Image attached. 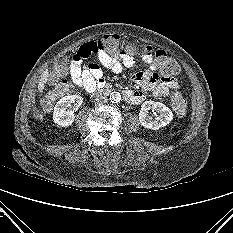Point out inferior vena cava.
Returning <instances> with one entry per match:
<instances>
[{"label": "inferior vena cava", "instance_id": "inferior-vena-cava-1", "mask_svg": "<svg viewBox=\"0 0 233 233\" xmlns=\"http://www.w3.org/2000/svg\"><path fill=\"white\" fill-rule=\"evenodd\" d=\"M107 100H108V99H107L106 97L97 95V96H95L94 102H95V104H97V105H102V104L107 103Z\"/></svg>", "mask_w": 233, "mask_h": 233}]
</instances>
